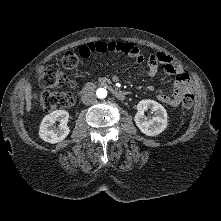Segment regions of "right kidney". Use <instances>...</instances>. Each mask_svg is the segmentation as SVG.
I'll use <instances>...</instances> for the list:
<instances>
[{"mask_svg": "<svg viewBox=\"0 0 221 221\" xmlns=\"http://www.w3.org/2000/svg\"><path fill=\"white\" fill-rule=\"evenodd\" d=\"M68 120L69 113L65 110H56L46 115L40 124V138L52 144L64 140L70 132ZM56 121L60 122L57 128L53 127Z\"/></svg>", "mask_w": 221, "mask_h": 221, "instance_id": "1", "label": "right kidney"}]
</instances>
